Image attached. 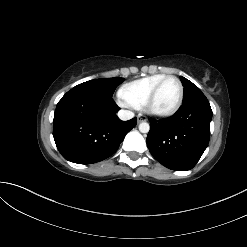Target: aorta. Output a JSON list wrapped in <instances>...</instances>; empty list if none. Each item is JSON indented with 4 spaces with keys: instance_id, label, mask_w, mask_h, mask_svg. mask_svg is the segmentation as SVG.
Instances as JSON below:
<instances>
[{
    "instance_id": "obj_1",
    "label": "aorta",
    "mask_w": 247,
    "mask_h": 247,
    "mask_svg": "<svg viewBox=\"0 0 247 247\" xmlns=\"http://www.w3.org/2000/svg\"><path fill=\"white\" fill-rule=\"evenodd\" d=\"M150 130V126L147 122H142L139 124V131L141 133H148Z\"/></svg>"
}]
</instances>
